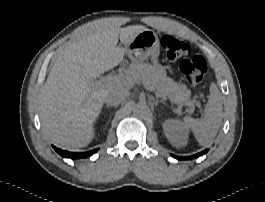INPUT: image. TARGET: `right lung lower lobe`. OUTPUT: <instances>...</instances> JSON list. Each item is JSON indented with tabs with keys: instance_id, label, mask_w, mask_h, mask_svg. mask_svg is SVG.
I'll list each match as a JSON object with an SVG mask.
<instances>
[{
	"instance_id": "1",
	"label": "right lung lower lobe",
	"mask_w": 265,
	"mask_h": 202,
	"mask_svg": "<svg viewBox=\"0 0 265 202\" xmlns=\"http://www.w3.org/2000/svg\"><path fill=\"white\" fill-rule=\"evenodd\" d=\"M53 148L61 156L66 157V158H71V159L86 158V157L91 156L92 154H94L98 150V149H95V150H91L89 152H67V151L61 150L59 148H56L55 146H53Z\"/></svg>"
}]
</instances>
